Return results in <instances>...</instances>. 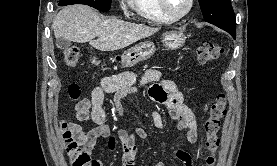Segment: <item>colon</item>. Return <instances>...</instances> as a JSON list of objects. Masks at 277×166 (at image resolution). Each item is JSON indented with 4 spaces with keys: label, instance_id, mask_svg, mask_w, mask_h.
Listing matches in <instances>:
<instances>
[{
    "label": "colon",
    "instance_id": "1",
    "mask_svg": "<svg viewBox=\"0 0 277 166\" xmlns=\"http://www.w3.org/2000/svg\"><path fill=\"white\" fill-rule=\"evenodd\" d=\"M223 53V48L215 42H206L200 45L196 50L197 60L201 64H206L217 60ZM80 59V51L76 46H70L64 51V60L69 67H74ZM93 64H97V60H92ZM69 96L76 100L80 96V88L76 83L69 86ZM227 111V99L223 93L217 94L213 100L207 118L204 121L203 128L205 132L204 147L207 151L205 158V166H216L217 150L219 148L220 139L218 131L221 119ZM60 129L63 136L64 146L72 166H93L94 162L86 155L81 148L83 132L76 124L67 120H62Z\"/></svg>",
    "mask_w": 277,
    "mask_h": 166
}]
</instances>
